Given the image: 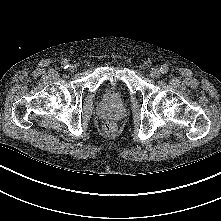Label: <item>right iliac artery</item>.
Listing matches in <instances>:
<instances>
[{
  "label": "right iliac artery",
  "mask_w": 221,
  "mask_h": 221,
  "mask_svg": "<svg viewBox=\"0 0 221 221\" xmlns=\"http://www.w3.org/2000/svg\"><path fill=\"white\" fill-rule=\"evenodd\" d=\"M62 67L64 68V69H67L68 67H69V62H68V60H64V61H62Z\"/></svg>",
  "instance_id": "obj_1"
}]
</instances>
